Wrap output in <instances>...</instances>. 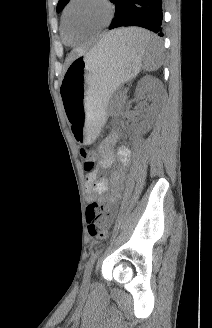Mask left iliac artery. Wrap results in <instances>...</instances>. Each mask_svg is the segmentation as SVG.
I'll use <instances>...</instances> for the list:
<instances>
[{"instance_id":"1","label":"left iliac artery","mask_w":212,"mask_h":328,"mask_svg":"<svg viewBox=\"0 0 212 328\" xmlns=\"http://www.w3.org/2000/svg\"><path fill=\"white\" fill-rule=\"evenodd\" d=\"M98 253H99V250H97L95 253H92L89 261L87 262L86 269L84 272V281L85 282L89 281L90 274H91V271H92V268H93V265L95 263Z\"/></svg>"}]
</instances>
